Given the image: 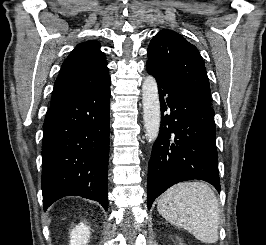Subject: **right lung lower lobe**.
<instances>
[{"mask_svg": "<svg viewBox=\"0 0 266 245\" xmlns=\"http://www.w3.org/2000/svg\"><path fill=\"white\" fill-rule=\"evenodd\" d=\"M110 82L78 90L51 105L43 125L44 210L65 196L108 209Z\"/></svg>", "mask_w": 266, "mask_h": 245, "instance_id": "1", "label": "right lung lower lobe"}]
</instances>
